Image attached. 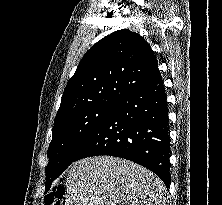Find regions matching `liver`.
Wrapping results in <instances>:
<instances>
[{"label": "liver", "instance_id": "1", "mask_svg": "<svg viewBox=\"0 0 222 205\" xmlns=\"http://www.w3.org/2000/svg\"><path fill=\"white\" fill-rule=\"evenodd\" d=\"M166 187L151 171L133 162L94 156L72 164L66 205H166Z\"/></svg>", "mask_w": 222, "mask_h": 205}]
</instances>
